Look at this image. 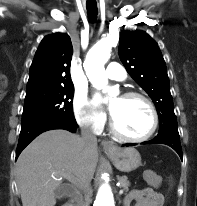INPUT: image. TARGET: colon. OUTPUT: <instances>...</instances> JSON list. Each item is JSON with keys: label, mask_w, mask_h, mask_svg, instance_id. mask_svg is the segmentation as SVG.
Instances as JSON below:
<instances>
[{"label": "colon", "mask_w": 197, "mask_h": 206, "mask_svg": "<svg viewBox=\"0 0 197 206\" xmlns=\"http://www.w3.org/2000/svg\"><path fill=\"white\" fill-rule=\"evenodd\" d=\"M151 180H152L153 182H155V183H158V182L160 181V179H159V177H158L157 175H153V176L151 177Z\"/></svg>", "instance_id": "colon-1"}]
</instances>
